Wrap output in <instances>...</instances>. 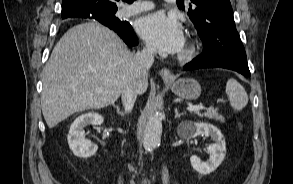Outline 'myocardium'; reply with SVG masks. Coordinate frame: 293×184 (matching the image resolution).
Listing matches in <instances>:
<instances>
[{
    "mask_svg": "<svg viewBox=\"0 0 293 184\" xmlns=\"http://www.w3.org/2000/svg\"><path fill=\"white\" fill-rule=\"evenodd\" d=\"M200 51V42L195 35H189L184 48L179 52L178 59L181 61L193 60Z\"/></svg>",
    "mask_w": 293,
    "mask_h": 184,
    "instance_id": "myocardium-1",
    "label": "myocardium"
}]
</instances>
